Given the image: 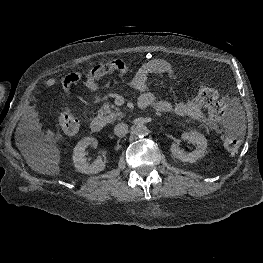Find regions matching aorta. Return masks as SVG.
<instances>
[{
    "mask_svg": "<svg viewBox=\"0 0 263 263\" xmlns=\"http://www.w3.org/2000/svg\"><path fill=\"white\" fill-rule=\"evenodd\" d=\"M148 132H149L148 128L143 124H138L134 128V134L138 137H144L148 134Z\"/></svg>",
    "mask_w": 263,
    "mask_h": 263,
    "instance_id": "aorta-1",
    "label": "aorta"
}]
</instances>
